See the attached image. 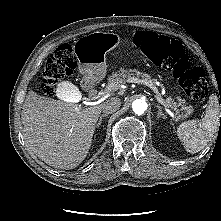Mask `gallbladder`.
Here are the masks:
<instances>
[{"instance_id":"1","label":"gallbladder","mask_w":221,"mask_h":221,"mask_svg":"<svg viewBox=\"0 0 221 221\" xmlns=\"http://www.w3.org/2000/svg\"><path fill=\"white\" fill-rule=\"evenodd\" d=\"M51 90L55 97L75 106L82 104L84 100L80 87L63 78L55 80Z\"/></svg>"}]
</instances>
